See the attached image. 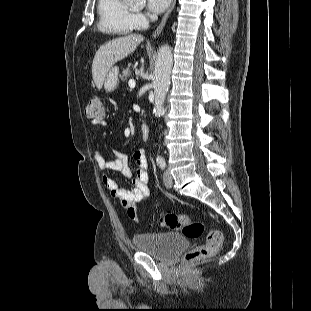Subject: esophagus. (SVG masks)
<instances>
[{
  "label": "esophagus",
  "mask_w": 311,
  "mask_h": 311,
  "mask_svg": "<svg viewBox=\"0 0 311 311\" xmlns=\"http://www.w3.org/2000/svg\"><path fill=\"white\" fill-rule=\"evenodd\" d=\"M175 4H176V0H172L170 6L168 7V9H167V11H166L162 21H161V23L159 24V26L157 27V29L153 33L152 37L155 38V37H157L161 33V31H162V29H163V27H164V25H165L169 15H170V13L172 12V10L175 7Z\"/></svg>",
  "instance_id": "esophagus-1"
}]
</instances>
